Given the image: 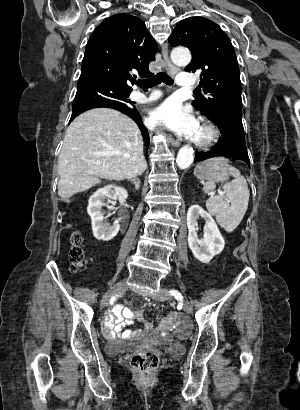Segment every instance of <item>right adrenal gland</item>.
<instances>
[{"label":"right adrenal gland","instance_id":"obj_1","mask_svg":"<svg viewBox=\"0 0 300 410\" xmlns=\"http://www.w3.org/2000/svg\"><path fill=\"white\" fill-rule=\"evenodd\" d=\"M128 181H131L133 183V185L135 186L136 190H139L140 188V179L133 177V178H129Z\"/></svg>","mask_w":300,"mask_h":410}]
</instances>
